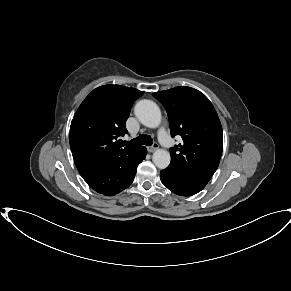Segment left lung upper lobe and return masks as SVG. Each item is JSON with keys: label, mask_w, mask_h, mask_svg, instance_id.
I'll use <instances>...</instances> for the list:
<instances>
[{"label": "left lung upper lobe", "mask_w": 291, "mask_h": 291, "mask_svg": "<svg viewBox=\"0 0 291 291\" xmlns=\"http://www.w3.org/2000/svg\"><path fill=\"white\" fill-rule=\"evenodd\" d=\"M153 96L168 113L171 136L180 135L183 140L170 149V166L209 182L223 150L222 127L212 103L200 91L186 86L156 92Z\"/></svg>", "instance_id": "left-lung-upper-lobe-1"}]
</instances>
